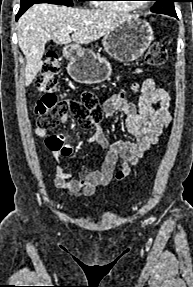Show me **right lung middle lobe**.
I'll use <instances>...</instances> for the list:
<instances>
[{
	"instance_id": "right-lung-middle-lobe-1",
	"label": "right lung middle lobe",
	"mask_w": 193,
	"mask_h": 287,
	"mask_svg": "<svg viewBox=\"0 0 193 287\" xmlns=\"http://www.w3.org/2000/svg\"><path fill=\"white\" fill-rule=\"evenodd\" d=\"M79 1H88V0H79ZM37 3H51L58 5L72 6V0H21V5L25 4H37Z\"/></svg>"
}]
</instances>
